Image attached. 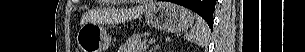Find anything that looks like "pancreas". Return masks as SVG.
<instances>
[{"instance_id": "pancreas-1", "label": "pancreas", "mask_w": 305, "mask_h": 52, "mask_svg": "<svg viewBox=\"0 0 305 52\" xmlns=\"http://www.w3.org/2000/svg\"><path fill=\"white\" fill-rule=\"evenodd\" d=\"M148 39L143 38L140 35H133L122 45V51L124 52H142L148 47Z\"/></svg>"}]
</instances>
